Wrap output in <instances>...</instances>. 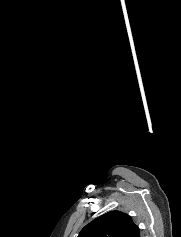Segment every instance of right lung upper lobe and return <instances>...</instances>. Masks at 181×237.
<instances>
[{
	"label": "right lung upper lobe",
	"instance_id": "1",
	"mask_svg": "<svg viewBox=\"0 0 181 237\" xmlns=\"http://www.w3.org/2000/svg\"><path fill=\"white\" fill-rule=\"evenodd\" d=\"M78 237H140V234L129 215L110 211L86 225Z\"/></svg>",
	"mask_w": 181,
	"mask_h": 237
}]
</instances>
